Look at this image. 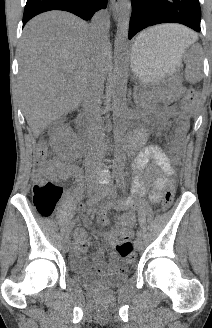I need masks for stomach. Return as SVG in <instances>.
<instances>
[{"instance_id":"1","label":"stomach","mask_w":212,"mask_h":328,"mask_svg":"<svg viewBox=\"0 0 212 328\" xmlns=\"http://www.w3.org/2000/svg\"><path fill=\"white\" fill-rule=\"evenodd\" d=\"M184 49L179 44L163 39L148 40L142 47L133 45L132 71L143 83L155 84L175 71Z\"/></svg>"}]
</instances>
